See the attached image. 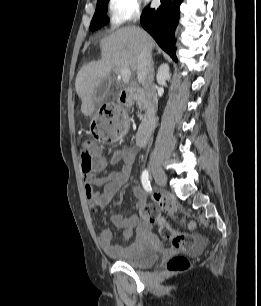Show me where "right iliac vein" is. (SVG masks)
<instances>
[{
    "instance_id": "1",
    "label": "right iliac vein",
    "mask_w": 261,
    "mask_h": 306,
    "mask_svg": "<svg viewBox=\"0 0 261 306\" xmlns=\"http://www.w3.org/2000/svg\"><path fill=\"white\" fill-rule=\"evenodd\" d=\"M151 172L158 185L164 186L166 184L167 182L166 174L160 167H158L157 165H152Z\"/></svg>"
}]
</instances>
